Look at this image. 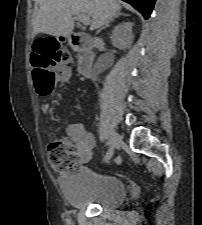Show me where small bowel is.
<instances>
[{"label":"small bowel","instance_id":"1","mask_svg":"<svg viewBox=\"0 0 202 225\" xmlns=\"http://www.w3.org/2000/svg\"><path fill=\"white\" fill-rule=\"evenodd\" d=\"M62 72L64 75H69V67H63ZM67 133L71 141L76 145L79 162L81 164L88 163L92 158V152L95 146L93 135L85 128L83 123L69 124Z\"/></svg>","mask_w":202,"mask_h":225}]
</instances>
